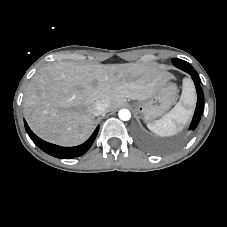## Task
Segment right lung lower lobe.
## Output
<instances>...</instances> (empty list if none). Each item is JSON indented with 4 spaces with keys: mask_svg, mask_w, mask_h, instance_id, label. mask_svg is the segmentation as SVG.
<instances>
[{
    "mask_svg": "<svg viewBox=\"0 0 227 227\" xmlns=\"http://www.w3.org/2000/svg\"><path fill=\"white\" fill-rule=\"evenodd\" d=\"M24 125H25V129L28 133V135L30 136V138L32 139V141L44 152L48 153L51 156L60 158V159H71V158H75L78 156L83 155L84 153H86L88 151V149L91 147V145L93 144L98 130H99V126L96 128V130L94 131V133L91 135V137L83 144L79 145V146H75V147H61L58 145H54L51 143H48L46 141H43L42 139H40L39 137H37L29 128L28 124L26 123V121H24Z\"/></svg>",
    "mask_w": 227,
    "mask_h": 227,
    "instance_id": "1",
    "label": "right lung lower lobe"
}]
</instances>
